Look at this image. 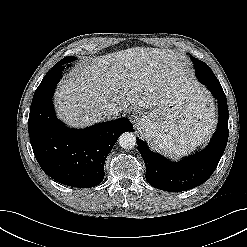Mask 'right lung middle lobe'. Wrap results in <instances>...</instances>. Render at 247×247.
I'll return each mask as SVG.
<instances>
[{"label": "right lung middle lobe", "instance_id": "obj_1", "mask_svg": "<svg viewBox=\"0 0 247 247\" xmlns=\"http://www.w3.org/2000/svg\"><path fill=\"white\" fill-rule=\"evenodd\" d=\"M74 60H75L74 57H65L61 61H59L53 68L63 66L64 64H68ZM68 66H70V65H68Z\"/></svg>", "mask_w": 247, "mask_h": 247}]
</instances>
